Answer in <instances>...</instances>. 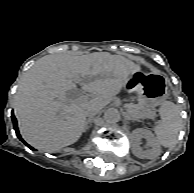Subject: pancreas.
<instances>
[{"label":"pancreas","instance_id":"obj_1","mask_svg":"<svg viewBox=\"0 0 194 193\" xmlns=\"http://www.w3.org/2000/svg\"><path fill=\"white\" fill-rule=\"evenodd\" d=\"M126 109L127 112L130 114L131 119H133L132 117L135 116L138 121H140V119L150 118L152 114L151 110H144L143 107L134 105V103L128 104L126 106Z\"/></svg>","mask_w":194,"mask_h":193}]
</instances>
